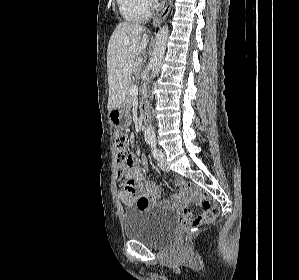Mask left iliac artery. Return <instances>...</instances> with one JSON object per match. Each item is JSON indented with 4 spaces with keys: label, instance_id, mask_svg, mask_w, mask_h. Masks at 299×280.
<instances>
[{
    "label": "left iliac artery",
    "instance_id": "1",
    "mask_svg": "<svg viewBox=\"0 0 299 280\" xmlns=\"http://www.w3.org/2000/svg\"><path fill=\"white\" fill-rule=\"evenodd\" d=\"M148 144L151 146L152 154L155 159L160 160L162 158V152L157 148V143L155 139H149Z\"/></svg>",
    "mask_w": 299,
    "mask_h": 280
}]
</instances>
